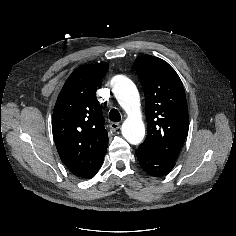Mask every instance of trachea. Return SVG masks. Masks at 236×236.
<instances>
[{
	"mask_svg": "<svg viewBox=\"0 0 236 236\" xmlns=\"http://www.w3.org/2000/svg\"><path fill=\"white\" fill-rule=\"evenodd\" d=\"M109 119L113 122H119L121 119L119 111L117 109H112L109 112Z\"/></svg>",
	"mask_w": 236,
	"mask_h": 236,
	"instance_id": "obj_1",
	"label": "trachea"
}]
</instances>
